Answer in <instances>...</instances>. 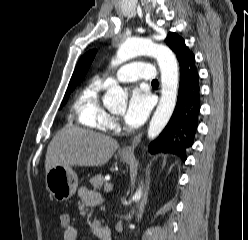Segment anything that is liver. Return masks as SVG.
<instances>
[{
  "instance_id": "1",
  "label": "liver",
  "mask_w": 248,
  "mask_h": 240,
  "mask_svg": "<svg viewBox=\"0 0 248 240\" xmlns=\"http://www.w3.org/2000/svg\"><path fill=\"white\" fill-rule=\"evenodd\" d=\"M118 146L115 139L101 133L79 128L62 129L48 145L45 171L59 165L102 166Z\"/></svg>"
}]
</instances>
